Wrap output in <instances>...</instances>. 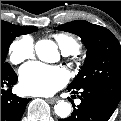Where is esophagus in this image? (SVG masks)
<instances>
[{
  "label": "esophagus",
  "mask_w": 121,
  "mask_h": 121,
  "mask_svg": "<svg viewBox=\"0 0 121 121\" xmlns=\"http://www.w3.org/2000/svg\"><path fill=\"white\" fill-rule=\"evenodd\" d=\"M57 100H58L57 98H50V99H47V101H48L50 104L55 103Z\"/></svg>",
  "instance_id": "obj_1"
}]
</instances>
